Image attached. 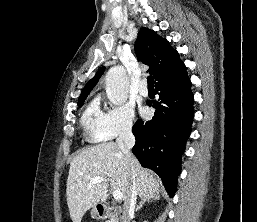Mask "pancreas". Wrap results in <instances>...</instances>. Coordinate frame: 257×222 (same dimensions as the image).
I'll return each instance as SVG.
<instances>
[{
  "label": "pancreas",
  "instance_id": "pancreas-1",
  "mask_svg": "<svg viewBox=\"0 0 257 222\" xmlns=\"http://www.w3.org/2000/svg\"><path fill=\"white\" fill-rule=\"evenodd\" d=\"M106 222H118V216L115 213H110L109 219Z\"/></svg>",
  "mask_w": 257,
  "mask_h": 222
}]
</instances>
